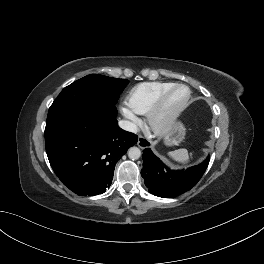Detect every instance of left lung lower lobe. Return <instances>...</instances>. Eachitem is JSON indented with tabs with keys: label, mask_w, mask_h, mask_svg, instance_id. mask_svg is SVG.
<instances>
[{
	"label": "left lung lower lobe",
	"mask_w": 264,
	"mask_h": 264,
	"mask_svg": "<svg viewBox=\"0 0 264 264\" xmlns=\"http://www.w3.org/2000/svg\"><path fill=\"white\" fill-rule=\"evenodd\" d=\"M208 164L209 157L201 164L186 170H171L152 153L150 148H146L143 150L141 175L150 193L170 198L194 187L204 174Z\"/></svg>",
	"instance_id": "obj_1"
}]
</instances>
